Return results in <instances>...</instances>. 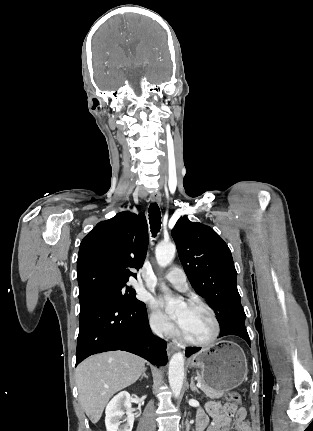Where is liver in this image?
<instances>
[{
    "label": "liver",
    "mask_w": 313,
    "mask_h": 431,
    "mask_svg": "<svg viewBox=\"0 0 313 431\" xmlns=\"http://www.w3.org/2000/svg\"><path fill=\"white\" fill-rule=\"evenodd\" d=\"M145 360L123 351L97 354L76 368L79 401L92 423H97L109 399L136 382Z\"/></svg>",
    "instance_id": "liver-1"
}]
</instances>
